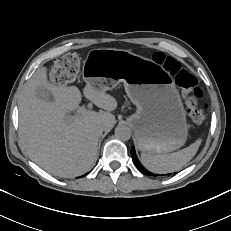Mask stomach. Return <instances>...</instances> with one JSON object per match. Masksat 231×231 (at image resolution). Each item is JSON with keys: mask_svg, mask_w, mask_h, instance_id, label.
I'll use <instances>...</instances> for the list:
<instances>
[{"mask_svg": "<svg viewBox=\"0 0 231 231\" xmlns=\"http://www.w3.org/2000/svg\"><path fill=\"white\" fill-rule=\"evenodd\" d=\"M82 75L99 91L124 83L137 108L128 122L140 151L164 154L186 142V112L172 76L161 65L126 50L94 49L83 63Z\"/></svg>", "mask_w": 231, "mask_h": 231, "instance_id": "0dacf381", "label": "stomach"}]
</instances>
